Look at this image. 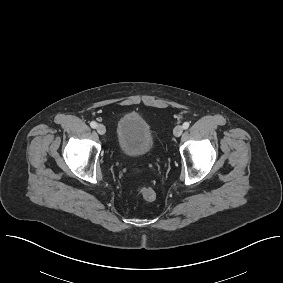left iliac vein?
<instances>
[{
    "instance_id": "left-iliac-vein-1",
    "label": "left iliac vein",
    "mask_w": 283,
    "mask_h": 283,
    "mask_svg": "<svg viewBox=\"0 0 283 283\" xmlns=\"http://www.w3.org/2000/svg\"><path fill=\"white\" fill-rule=\"evenodd\" d=\"M182 132H183V127L180 126V125L176 126V127L174 128V130H173V134H174L176 137L181 136Z\"/></svg>"
}]
</instances>
